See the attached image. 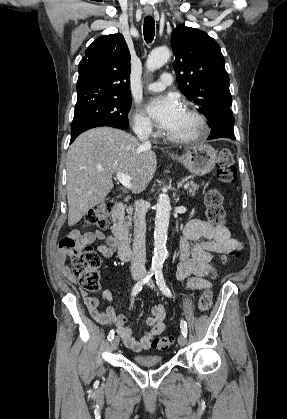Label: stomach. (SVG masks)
<instances>
[{"label": "stomach", "instance_id": "0dacf381", "mask_svg": "<svg viewBox=\"0 0 287 419\" xmlns=\"http://www.w3.org/2000/svg\"><path fill=\"white\" fill-rule=\"evenodd\" d=\"M181 162L192 174L204 176L215 166L217 153L208 144L195 145L179 157H172Z\"/></svg>", "mask_w": 287, "mask_h": 419}]
</instances>
